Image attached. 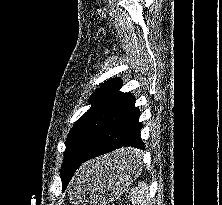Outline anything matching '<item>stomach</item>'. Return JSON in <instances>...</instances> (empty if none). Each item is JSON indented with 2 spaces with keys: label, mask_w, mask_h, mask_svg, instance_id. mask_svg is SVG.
Listing matches in <instances>:
<instances>
[{
  "label": "stomach",
  "mask_w": 222,
  "mask_h": 205,
  "mask_svg": "<svg viewBox=\"0 0 222 205\" xmlns=\"http://www.w3.org/2000/svg\"><path fill=\"white\" fill-rule=\"evenodd\" d=\"M121 151L85 164L69 188L73 205H106L118 199L140 176L141 158L129 165L115 162Z\"/></svg>",
  "instance_id": "stomach-1"
}]
</instances>
